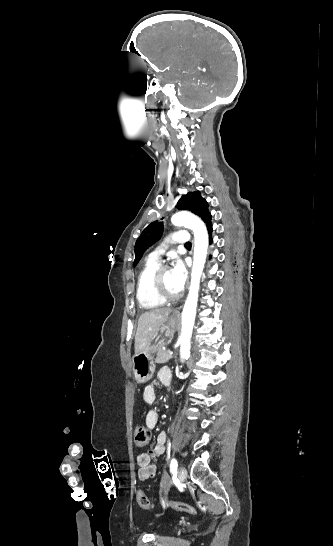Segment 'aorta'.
<instances>
[{"mask_svg": "<svg viewBox=\"0 0 333 546\" xmlns=\"http://www.w3.org/2000/svg\"><path fill=\"white\" fill-rule=\"evenodd\" d=\"M171 222L176 227L185 226L192 229L195 237L191 282L182 312V332L179 339L180 358L183 361L190 358V340L196 315L200 278L207 257L209 240L205 224L192 213L178 212L172 216Z\"/></svg>", "mask_w": 333, "mask_h": 546, "instance_id": "1", "label": "aorta"}]
</instances>
